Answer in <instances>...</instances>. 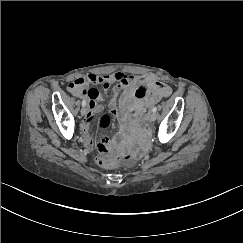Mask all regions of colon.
I'll return each instance as SVG.
<instances>
[{
    "mask_svg": "<svg viewBox=\"0 0 243 243\" xmlns=\"http://www.w3.org/2000/svg\"><path fill=\"white\" fill-rule=\"evenodd\" d=\"M112 125V117L109 114H103L101 115L97 121H96V126L100 131H106L108 130ZM126 158H129L127 156ZM99 163L103 166H108V167H116L120 166L123 162V158L120 156H113V157H101L98 159Z\"/></svg>",
    "mask_w": 243,
    "mask_h": 243,
    "instance_id": "5ec220e1",
    "label": "colon"
}]
</instances>
